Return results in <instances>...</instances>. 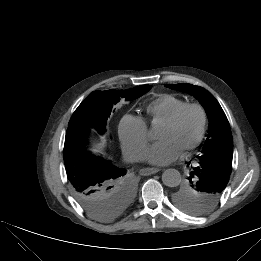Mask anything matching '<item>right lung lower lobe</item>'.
<instances>
[{
	"label": "right lung lower lobe",
	"instance_id": "1",
	"mask_svg": "<svg viewBox=\"0 0 261 261\" xmlns=\"http://www.w3.org/2000/svg\"><path fill=\"white\" fill-rule=\"evenodd\" d=\"M88 133V127L82 125L68 127L66 132L64 163L67 177L76 187L98 184L125 172L123 168H117L111 162L86 150Z\"/></svg>",
	"mask_w": 261,
	"mask_h": 261
}]
</instances>
